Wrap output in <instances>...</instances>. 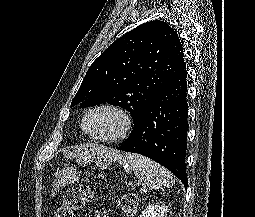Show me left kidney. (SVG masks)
<instances>
[{"label": "left kidney", "instance_id": "left-kidney-1", "mask_svg": "<svg viewBox=\"0 0 255 217\" xmlns=\"http://www.w3.org/2000/svg\"><path fill=\"white\" fill-rule=\"evenodd\" d=\"M168 207L165 205L149 204L146 209L142 211L139 217H167L166 212Z\"/></svg>", "mask_w": 255, "mask_h": 217}]
</instances>
